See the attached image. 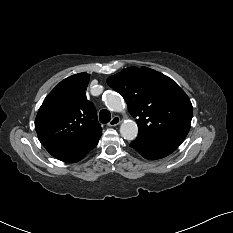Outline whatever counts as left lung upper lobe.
Listing matches in <instances>:
<instances>
[{"mask_svg": "<svg viewBox=\"0 0 233 233\" xmlns=\"http://www.w3.org/2000/svg\"><path fill=\"white\" fill-rule=\"evenodd\" d=\"M137 118L138 137L179 146L190 129L193 107L169 77L147 67H129L107 79Z\"/></svg>", "mask_w": 233, "mask_h": 233, "instance_id": "left-lung-upper-lobe-1", "label": "left lung upper lobe"}]
</instances>
